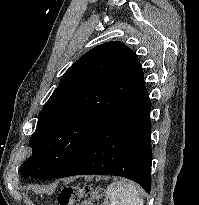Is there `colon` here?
<instances>
[{"label": "colon", "mask_w": 199, "mask_h": 205, "mask_svg": "<svg viewBox=\"0 0 199 205\" xmlns=\"http://www.w3.org/2000/svg\"><path fill=\"white\" fill-rule=\"evenodd\" d=\"M58 205H106L102 190L90 186L64 187L57 196Z\"/></svg>", "instance_id": "obj_1"}]
</instances>
